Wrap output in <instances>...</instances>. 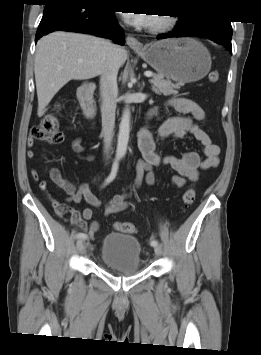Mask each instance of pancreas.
<instances>
[{
	"label": "pancreas",
	"instance_id": "cf45deb5",
	"mask_svg": "<svg viewBox=\"0 0 261 355\" xmlns=\"http://www.w3.org/2000/svg\"><path fill=\"white\" fill-rule=\"evenodd\" d=\"M149 81L152 84V91L156 94H163L165 96L177 95V90L180 89V84H173L160 75H154Z\"/></svg>",
	"mask_w": 261,
	"mask_h": 355
}]
</instances>
